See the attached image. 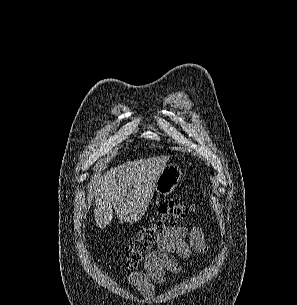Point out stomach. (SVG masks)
<instances>
[{
	"label": "stomach",
	"instance_id": "1",
	"mask_svg": "<svg viewBox=\"0 0 297 305\" xmlns=\"http://www.w3.org/2000/svg\"><path fill=\"white\" fill-rule=\"evenodd\" d=\"M182 177V169L177 164H167L163 169L160 176L157 178V181L154 186V191L158 195H168L171 194Z\"/></svg>",
	"mask_w": 297,
	"mask_h": 305
}]
</instances>
